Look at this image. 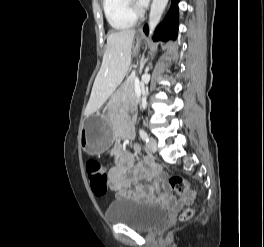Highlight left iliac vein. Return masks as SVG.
Returning <instances> with one entry per match:
<instances>
[{
    "mask_svg": "<svg viewBox=\"0 0 264 247\" xmlns=\"http://www.w3.org/2000/svg\"><path fill=\"white\" fill-rule=\"evenodd\" d=\"M146 149L151 153H155L157 150V141L154 138H150L149 141L146 142Z\"/></svg>",
    "mask_w": 264,
    "mask_h": 247,
    "instance_id": "1",
    "label": "left iliac vein"
}]
</instances>
